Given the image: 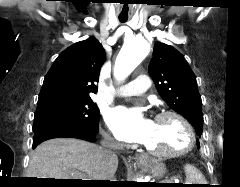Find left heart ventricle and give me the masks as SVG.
Wrapping results in <instances>:
<instances>
[{
    "instance_id": "1",
    "label": "left heart ventricle",
    "mask_w": 240,
    "mask_h": 187,
    "mask_svg": "<svg viewBox=\"0 0 240 187\" xmlns=\"http://www.w3.org/2000/svg\"><path fill=\"white\" fill-rule=\"evenodd\" d=\"M186 136L182 126L173 117L155 121L154 130L146 146L155 151L178 149L184 146Z\"/></svg>"
}]
</instances>
